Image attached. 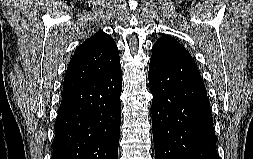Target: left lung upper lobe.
Returning a JSON list of instances; mask_svg holds the SVG:
<instances>
[{
  "mask_svg": "<svg viewBox=\"0 0 253 159\" xmlns=\"http://www.w3.org/2000/svg\"><path fill=\"white\" fill-rule=\"evenodd\" d=\"M193 59L189 52L174 38L163 35L153 45V54Z\"/></svg>",
  "mask_w": 253,
  "mask_h": 159,
  "instance_id": "5c2ea615",
  "label": "left lung upper lobe"
}]
</instances>
